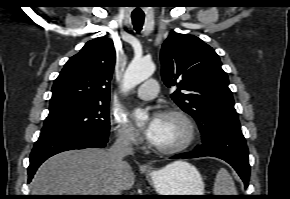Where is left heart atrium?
<instances>
[{
	"label": "left heart atrium",
	"mask_w": 290,
	"mask_h": 199,
	"mask_svg": "<svg viewBox=\"0 0 290 199\" xmlns=\"http://www.w3.org/2000/svg\"><path fill=\"white\" fill-rule=\"evenodd\" d=\"M159 123V116H155L151 118V120L148 122L144 129V133L146 137L152 142L154 139L156 132H157V127Z\"/></svg>",
	"instance_id": "left-heart-atrium-1"
}]
</instances>
